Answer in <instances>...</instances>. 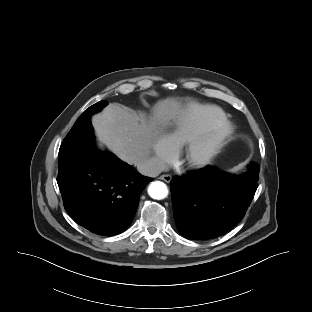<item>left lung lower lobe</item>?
Listing matches in <instances>:
<instances>
[{"label": "left lung lower lobe", "instance_id": "0a47b994", "mask_svg": "<svg viewBox=\"0 0 312 312\" xmlns=\"http://www.w3.org/2000/svg\"><path fill=\"white\" fill-rule=\"evenodd\" d=\"M259 170L233 176L207 166L174 177L170 185L179 233L189 239L207 240L231 230L244 217L254 197Z\"/></svg>", "mask_w": 312, "mask_h": 312}]
</instances>
